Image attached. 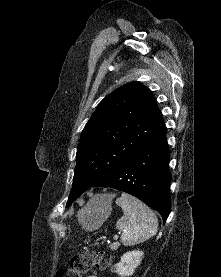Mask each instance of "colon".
Masks as SVG:
<instances>
[{
	"label": "colon",
	"mask_w": 221,
	"mask_h": 277,
	"mask_svg": "<svg viewBox=\"0 0 221 277\" xmlns=\"http://www.w3.org/2000/svg\"><path fill=\"white\" fill-rule=\"evenodd\" d=\"M111 256L105 251H85L74 256L69 266L57 271L56 277H81L92 268L106 269Z\"/></svg>",
	"instance_id": "obj_1"
}]
</instances>
